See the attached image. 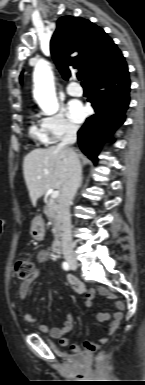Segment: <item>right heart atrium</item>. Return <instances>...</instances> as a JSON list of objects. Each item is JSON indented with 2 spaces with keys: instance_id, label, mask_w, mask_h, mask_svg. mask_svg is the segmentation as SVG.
I'll use <instances>...</instances> for the list:
<instances>
[{
  "instance_id": "right-heart-atrium-1",
  "label": "right heart atrium",
  "mask_w": 145,
  "mask_h": 385,
  "mask_svg": "<svg viewBox=\"0 0 145 385\" xmlns=\"http://www.w3.org/2000/svg\"><path fill=\"white\" fill-rule=\"evenodd\" d=\"M45 143L53 144L62 140L65 136L77 131V125L67 118L63 110L52 115L44 116L40 120Z\"/></svg>"
}]
</instances>
